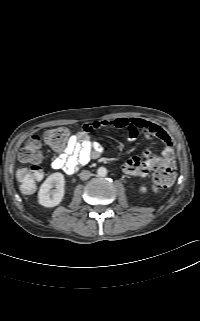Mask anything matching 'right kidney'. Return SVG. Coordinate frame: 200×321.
I'll return each instance as SVG.
<instances>
[{"label": "right kidney", "mask_w": 200, "mask_h": 321, "mask_svg": "<svg viewBox=\"0 0 200 321\" xmlns=\"http://www.w3.org/2000/svg\"><path fill=\"white\" fill-rule=\"evenodd\" d=\"M65 179L62 173L51 174L40 186L38 201L44 207H55L64 197Z\"/></svg>", "instance_id": "right-kidney-1"}]
</instances>
